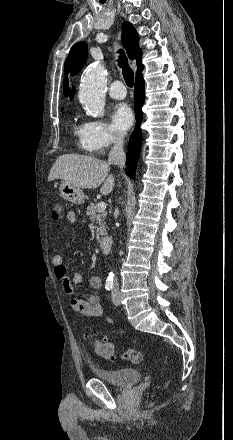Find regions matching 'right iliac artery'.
Instances as JSON below:
<instances>
[{
    "label": "right iliac artery",
    "mask_w": 233,
    "mask_h": 440,
    "mask_svg": "<svg viewBox=\"0 0 233 440\" xmlns=\"http://www.w3.org/2000/svg\"><path fill=\"white\" fill-rule=\"evenodd\" d=\"M106 290L110 291L113 288V280L107 279L105 283Z\"/></svg>",
    "instance_id": "obj_1"
}]
</instances>
